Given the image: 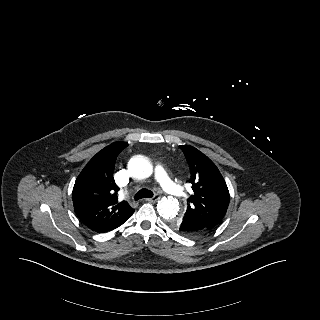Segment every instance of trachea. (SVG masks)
<instances>
[{
  "mask_svg": "<svg viewBox=\"0 0 320 320\" xmlns=\"http://www.w3.org/2000/svg\"><path fill=\"white\" fill-rule=\"evenodd\" d=\"M151 197H153L152 191L148 189H141L135 194L134 199L137 201L143 198H151Z\"/></svg>",
  "mask_w": 320,
  "mask_h": 320,
  "instance_id": "3493384b",
  "label": "trachea"
}]
</instances>
